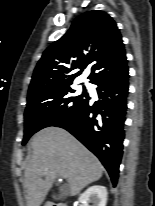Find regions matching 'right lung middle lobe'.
Here are the masks:
<instances>
[{"instance_id": "1", "label": "right lung middle lobe", "mask_w": 155, "mask_h": 206, "mask_svg": "<svg viewBox=\"0 0 155 206\" xmlns=\"http://www.w3.org/2000/svg\"><path fill=\"white\" fill-rule=\"evenodd\" d=\"M74 92L70 85H64L28 96L22 145H25L34 133L53 126L89 99L85 88L79 96H74Z\"/></svg>"}]
</instances>
